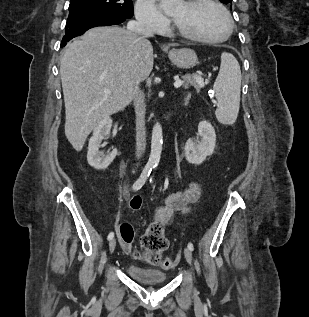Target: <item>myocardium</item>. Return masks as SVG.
<instances>
[{"label":"myocardium","mask_w":309,"mask_h":317,"mask_svg":"<svg viewBox=\"0 0 309 317\" xmlns=\"http://www.w3.org/2000/svg\"><path fill=\"white\" fill-rule=\"evenodd\" d=\"M185 4L189 8H196V7H198L200 5H203V4H210V5H213V6L217 7L222 12V14L224 15V17L226 19L227 29H226L225 34L222 37L206 38V37L194 35V34H191V33H188L186 31L182 30L177 25V23L173 20L174 31H175V33L178 36H180V37H182V38H184L186 40H189V41H193V42H197V43H203V44L222 43V42H225L227 39H229V37L233 33L234 22H233V19L231 17V14L229 13V11L218 0H187V1H185Z\"/></svg>","instance_id":"obj_1"}]
</instances>
